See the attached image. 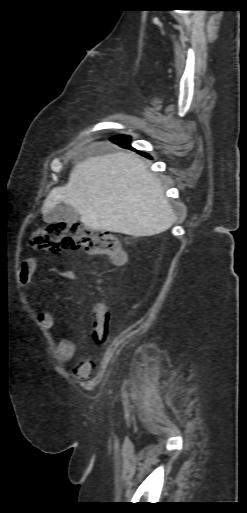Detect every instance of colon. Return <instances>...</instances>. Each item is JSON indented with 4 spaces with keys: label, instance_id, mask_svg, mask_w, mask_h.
<instances>
[{
    "label": "colon",
    "instance_id": "1",
    "mask_svg": "<svg viewBox=\"0 0 247 513\" xmlns=\"http://www.w3.org/2000/svg\"><path fill=\"white\" fill-rule=\"evenodd\" d=\"M35 244L50 250L82 249L89 254L107 255L119 264H124L128 259L127 253L120 248L117 237L108 232L90 229L80 223L47 224L38 232ZM91 311L93 339L97 343H102L112 321L111 303L108 300H95Z\"/></svg>",
    "mask_w": 247,
    "mask_h": 513
}]
</instances>
